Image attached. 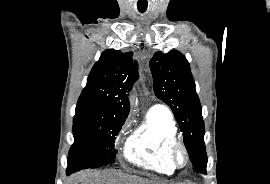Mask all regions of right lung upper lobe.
I'll use <instances>...</instances> for the list:
<instances>
[{
  "label": "right lung upper lobe",
  "mask_w": 270,
  "mask_h": 184,
  "mask_svg": "<svg viewBox=\"0 0 270 184\" xmlns=\"http://www.w3.org/2000/svg\"><path fill=\"white\" fill-rule=\"evenodd\" d=\"M132 54L104 51L88 76L78 104L91 107L97 115L125 121L130 110L127 93L139 77Z\"/></svg>",
  "instance_id": "right-lung-upper-lobe-1"
}]
</instances>
